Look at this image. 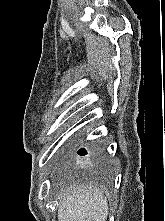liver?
I'll list each match as a JSON object with an SVG mask.
<instances>
[{"mask_svg":"<svg viewBox=\"0 0 165 221\" xmlns=\"http://www.w3.org/2000/svg\"><path fill=\"white\" fill-rule=\"evenodd\" d=\"M108 203L103 193L83 187H71L61 194L58 221H106Z\"/></svg>","mask_w":165,"mask_h":221,"instance_id":"obj_1","label":"liver"}]
</instances>
